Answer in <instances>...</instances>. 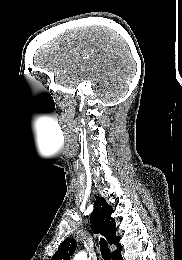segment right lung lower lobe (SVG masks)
Wrapping results in <instances>:
<instances>
[{"mask_svg":"<svg viewBox=\"0 0 182 260\" xmlns=\"http://www.w3.org/2000/svg\"><path fill=\"white\" fill-rule=\"evenodd\" d=\"M112 260H123V258L121 256V250L112 255Z\"/></svg>","mask_w":182,"mask_h":260,"instance_id":"98d812e1","label":"right lung lower lobe"}]
</instances>
